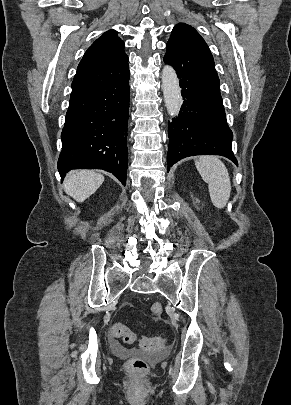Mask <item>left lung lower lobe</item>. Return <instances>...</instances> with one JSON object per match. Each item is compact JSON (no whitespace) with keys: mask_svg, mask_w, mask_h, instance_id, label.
<instances>
[{"mask_svg":"<svg viewBox=\"0 0 291 405\" xmlns=\"http://www.w3.org/2000/svg\"><path fill=\"white\" fill-rule=\"evenodd\" d=\"M163 60L176 70L184 100L179 115L168 121V171L182 158L203 154L221 155L238 165L212 54L169 40Z\"/></svg>","mask_w":291,"mask_h":405,"instance_id":"1","label":"left lung lower lobe"}]
</instances>
